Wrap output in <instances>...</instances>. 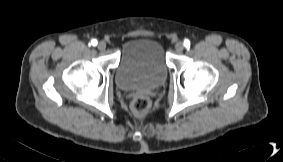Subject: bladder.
Masks as SVG:
<instances>
[{
    "label": "bladder",
    "mask_w": 283,
    "mask_h": 162,
    "mask_svg": "<svg viewBox=\"0 0 283 162\" xmlns=\"http://www.w3.org/2000/svg\"><path fill=\"white\" fill-rule=\"evenodd\" d=\"M168 65L162 45L148 37L128 40L122 47L115 83L118 88H155L163 84Z\"/></svg>",
    "instance_id": "31cf9c89"
}]
</instances>
